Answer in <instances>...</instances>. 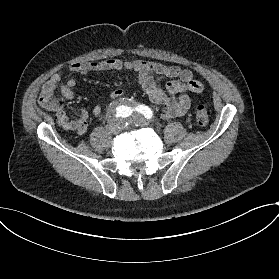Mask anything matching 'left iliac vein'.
<instances>
[{
    "mask_svg": "<svg viewBox=\"0 0 279 279\" xmlns=\"http://www.w3.org/2000/svg\"><path fill=\"white\" fill-rule=\"evenodd\" d=\"M131 120L133 119L132 117L130 118ZM138 125H142L140 122H138L137 120L135 121Z\"/></svg>",
    "mask_w": 279,
    "mask_h": 279,
    "instance_id": "left-iliac-vein-1",
    "label": "left iliac vein"
}]
</instances>
